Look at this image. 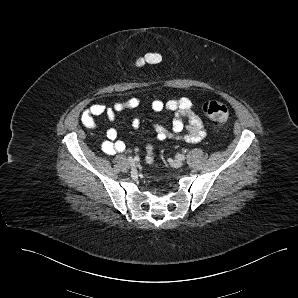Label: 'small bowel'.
<instances>
[{
	"label": "small bowel",
	"instance_id": "small-bowel-1",
	"mask_svg": "<svg viewBox=\"0 0 298 298\" xmlns=\"http://www.w3.org/2000/svg\"><path fill=\"white\" fill-rule=\"evenodd\" d=\"M141 104V99L131 97L124 102H116L112 106H105L96 103L85 109L81 115L83 125L91 132L97 131L98 124L96 118L106 115L108 119L114 120L118 113L126 109H135ZM194 104L189 98L172 99L166 102L155 99L151 102V108L156 112L171 111L174 118L171 128L168 129L162 124L154 125L153 129L159 141H185L196 143L204 138L206 132L201 118L193 110ZM185 120L187 123H185ZM132 127L138 129L140 120L133 118ZM118 132L110 128L106 132V139L101 142V149L107 155H115L125 151L126 144L118 140Z\"/></svg>",
	"mask_w": 298,
	"mask_h": 298
}]
</instances>
